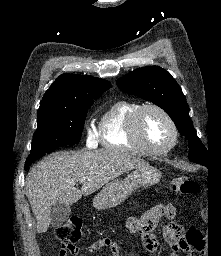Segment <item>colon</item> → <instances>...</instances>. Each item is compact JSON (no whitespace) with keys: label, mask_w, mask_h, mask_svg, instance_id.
I'll list each match as a JSON object with an SVG mask.
<instances>
[{"label":"colon","mask_w":221,"mask_h":256,"mask_svg":"<svg viewBox=\"0 0 221 256\" xmlns=\"http://www.w3.org/2000/svg\"><path fill=\"white\" fill-rule=\"evenodd\" d=\"M174 192L179 194L193 195L199 191V184L186 176L176 177L171 182ZM55 237L62 245V253L77 251V243L81 239V220L71 217L55 229ZM186 250L190 256L205 255V240L200 230L191 228L186 234Z\"/></svg>","instance_id":"1"}]
</instances>
